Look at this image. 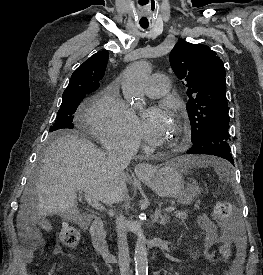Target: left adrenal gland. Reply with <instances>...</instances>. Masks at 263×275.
<instances>
[{"mask_svg": "<svg viewBox=\"0 0 263 275\" xmlns=\"http://www.w3.org/2000/svg\"><path fill=\"white\" fill-rule=\"evenodd\" d=\"M153 222H159L161 225L165 226L169 222V216L162 215L161 209H158L154 214Z\"/></svg>", "mask_w": 263, "mask_h": 275, "instance_id": "a2214340", "label": "left adrenal gland"}]
</instances>
